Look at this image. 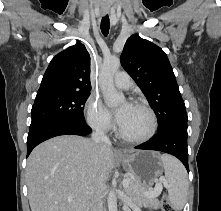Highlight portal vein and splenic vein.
I'll return each mask as SVG.
<instances>
[{
	"instance_id": "obj_1",
	"label": "portal vein and splenic vein",
	"mask_w": 221,
	"mask_h": 211,
	"mask_svg": "<svg viewBox=\"0 0 221 211\" xmlns=\"http://www.w3.org/2000/svg\"><path fill=\"white\" fill-rule=\"evenodd\" d=\"M130 181L129 179L125 178L122 182L123 187H127L129 185ZM162 191V182L158 181L156 182L155 188L154 189H150L148 191L145 192V195L150 197V198H154L157 197ZM72 201V197H68V202Z\"/></svg>"
}]
</instances>
